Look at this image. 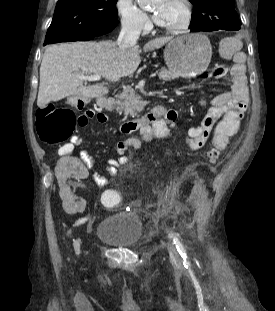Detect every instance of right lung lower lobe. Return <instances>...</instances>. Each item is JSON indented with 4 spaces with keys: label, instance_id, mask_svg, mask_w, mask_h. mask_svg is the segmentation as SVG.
<instances>
[{
    "label": "right lung lower lobe",
    "instance_id": "98d812e1",
    "mask_svg": "<svg viewBox=\"0 0 275 311\" xmlns=\"http://www.w3.org/2000/svg\"><path fill=\"white\" fill-rule=\"evenodd\" d=\"M99 35H95V34H82L73 38H70L68 40H66L65 42L68 41H87V40H92L96 37H98ZM47 43H44V45H46Z\"/></svg>",
    "mask_w": 275,
    "mask_h": 311
}]
</instances>
